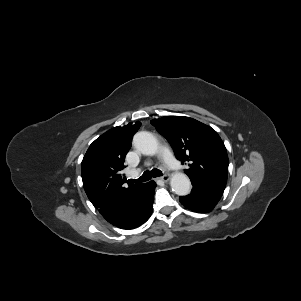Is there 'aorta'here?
Returning <instances> with one entry per match:
<instances>
[{"instance_id":"1","label":"aorta","mask_w":301,"mask_h":301,"mask_svg":"<svg viewBox=\"0 0 301 301\" xmlns=\"http://www.w3.org/2000/svg\"><path fill=\"white\" fill-rule=\"evenodd\" d=\"M134 147L144 155H154L158 151L156 138L146 131L137 132L133 137ZM172 190L179 196L188 195L191 191V182L184 173H175L171 178Z\"/></svg>"}]
</instances>
